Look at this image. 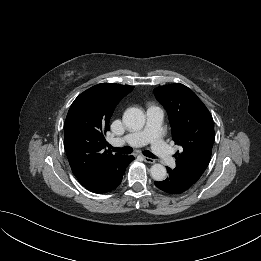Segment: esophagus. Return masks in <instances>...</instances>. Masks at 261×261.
Returning a JSON list of instances; mask_svg holds the SVG:
<instances>
[{"mask_svg":"<svg viewBox=\"0 0 261 261\" xmlns=\"http://www.w3.org/2000/svg\"><path fill=\"white\" fill-rule=\"evenodd\" d=\"M143 159H144L145 162L150 163V164H153V163L155 162L154 159L149 158V157H145V156H144Z\"/></svg>","mask_w":261,"mask_h":261,"instance_id":"1","label":"esophagus"}]
</instances>
